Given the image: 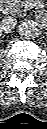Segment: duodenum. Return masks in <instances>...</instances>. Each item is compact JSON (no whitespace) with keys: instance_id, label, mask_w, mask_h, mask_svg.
<instances>
[{"instance_id":"410a0bca","label":"duodenum","mask_w":47,"mask_h":129,"mask_svg":"<svg viewBox=\"0 0 47 129\" xmlns=\"http://www.w3.org/2000/svg\"><path fill=\"white\" fill-rule=\"evenodd\" d=\"M14 11V4L10 0H3L1 3V12L5 15H10ZM39 17H43V11L38 12Z\"/></svg>"}]
</instances>
